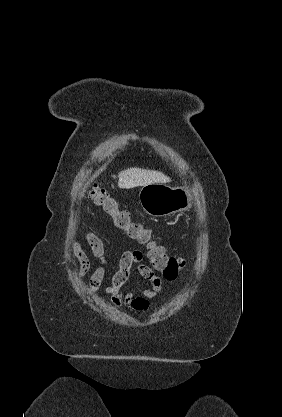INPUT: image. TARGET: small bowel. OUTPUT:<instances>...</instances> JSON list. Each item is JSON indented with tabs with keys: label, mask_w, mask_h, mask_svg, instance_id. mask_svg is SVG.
<instances>
[{
	"label": "small bowel",
	"mask_w": 282,
	"mask_h": 417,
	"mask_svg": "<svg viewBox=\"0 0 282 417\" xmlns=\"http://www.w3.org/2000/svg\"><path fill=\"white\" fill-rule=\"evenodd\" d=\"M85 238L93 256L100 263L89 278V293H94L100 288L105 277V248L102 240L95 233L87 232ZM73 249L79 262L77 275L78 277H84L91 269L90 259L78 243L74 244ZM141 261L142 253L138 250L126 251L121 255L119 268L113 276L112 285L107 289L111 302L116 308L125 306L134 311H146L150 308L149 301L161 292L162 279L155 274L152 267L141 263ZM134 268L150 283V288L128 292L125 290Z\"/></svg>",
	"instance_id": "1"
}]
</instances>
